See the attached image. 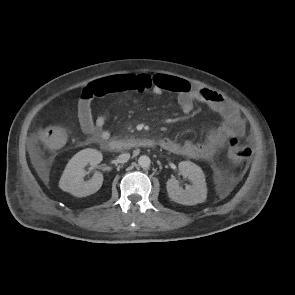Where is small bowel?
Masks as SVG:
<instances>
[{
    "mask_svg": "<svg viewBox=\"0 0 295 295\" xmlns=\"http://www.w3.org/2000/svg\"><path fill=\"white\" fill-rule=\"evenodd\" d=\"M130 91L134 93L131 100L136 105L138 97L144 94H161L174 92L177 94L178 104L185 114H189L196 102L204 103L222 117L221 124L211 130L201 142L185 141L183 143L164 138L160 146L174 154L191 158L212 159L231 138L241 137L245 133V122L234 105L226 101L219 93L191 85L188 81L163 74L156 75H113L90 82L82 90L78 101V120L82 132L95 138L98 142L110 138L106 129V115L96 119L92 115V102L97 97L110 93Z\"/></svg>",
    "mask_w": 295,
    "mask_h": 295,
    "instance_id": "c3829d8e",
    "label": "small bowel"
}]
</instances>
